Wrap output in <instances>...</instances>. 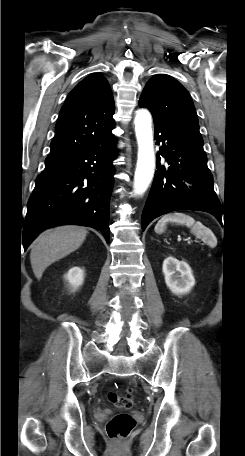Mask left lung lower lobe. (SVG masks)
I'll list each match as a JSON object with an SVG mask.
<instances>
[{
  "mask_svg": "<svg viewBox=\"0 0 245 456\" xmlns=\"http://www.w3.org/2000/svg\"><path fill=\"white\" fill-rule=\"evenodd\" d=\"M157 170L146 201L141 225L144 230L155 218L175 210H201L221 220V204L213 188L203 142L181 130L154 120ZM168 167H161L160 156Z\"/></svg>",
  "mask_w": 245,
  "mask_h": 456,
  "instance_id": "left-lung-lower-lobe-1",
  "label": "left lung lower lobe"
}]
</instances>
